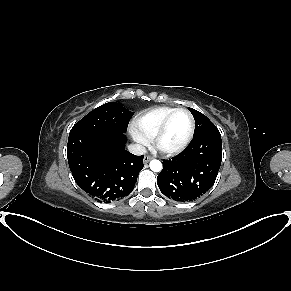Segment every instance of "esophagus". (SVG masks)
I'll return each mask as SVG.
<instances>
[{"label": "esophagus", "instance_id": "esophagus-1", "mask_svg": "<svg viewBox=\"0 0 291 291\" xmlns=\"http://www.w3.org/2000/svg\"><path fill=\"white\" fill-rule=\"evenodd\" d=\"M151 159H152V157L149 156V155H145V156H144V162H145V163H148Z\"/></svg>", "mask_w": 291, "mask_h": 291}]
</instances>
